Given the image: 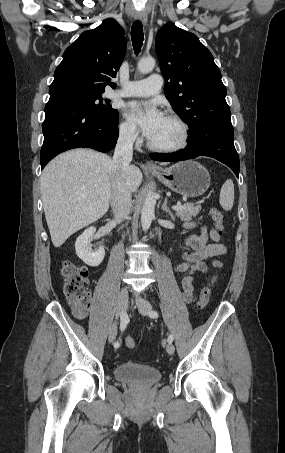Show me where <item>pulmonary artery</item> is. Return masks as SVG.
<instances>
[{
	"instance_id": "obj_1",
	"label": "pulmonary artery",
	"mask_w": 285,
	"mask_h": 453,
	"mask_svg": "<svg viewBox=\"0 0 285 453\" xmlns=\"http://www.w3.org/2000/svg\"><path fill=\"white\" fill-rule=\"evenodd\" d=\"M163 78L159 74H152L146 79L129 81L122 89L112 92V96L147 97L160 92Z\"/></svg>"
}]
</instances>
